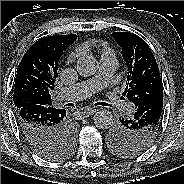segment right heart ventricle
I'll use <instances>...</instances> for the list:
<instances>
[{
    "instance_id": "e07e8e85",
    "label": "right heart ventricle",
    "mask_w": 184,
    "mask_h": 184,
    "mask_svg": "<svg viewBox=\"0 0 184 184\" xmlns=\"http://www.w3.org/2000/svg\"><path fill=\"white\" fill-rule=\"evenodd\" d=\"M109 56H114V51L110 46L104 44L100 48V57L103 58V57H109Z\"/></svg>"
}]
</instances>
